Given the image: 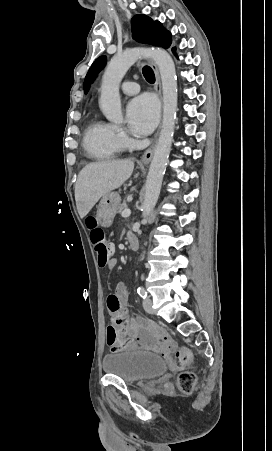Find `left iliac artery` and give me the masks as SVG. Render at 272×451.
Wrapping results in <instances>:
<instances>
[{
    "mask_svg": "<svg viewBox=\"0 0 272 451\" xmlns=\"http://www.w3.org/2000/svg\"><path fill=\"white\" fill-rule=\"evenodd\" d=\"M137 293H138L139 296H140L141 298H143V299L147 297V292H146L145 288L142 287V286H139V287L137 288Z\"/></svg>",
    "mask_w": 272,
    "mask_h": 451,
    "instance_id": "44dca946",
    "label": "left iliac artery"
}]
</instances>
